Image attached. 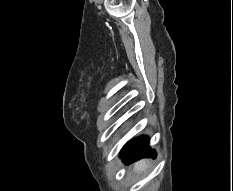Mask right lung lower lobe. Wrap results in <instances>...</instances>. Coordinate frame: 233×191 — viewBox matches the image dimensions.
<instances>
[{"mask_svg": "<svg viewBox=\"0 0 233 191\" xmlns=\"http://www.w3.org/2000/svg\"><path fill=\"white\" fill-rule=\"evenodd\" d=\"M156 157L155 151L149 146L147 136L138 137L126 144L121 151V157L125 164H130L143 157Z\"/></svg>", "mask_w": 233, "mask_h": 191, "instance_id": "right-lung-lower-lobe-1", "label": "right lung lower lobe"}]
</instances>
